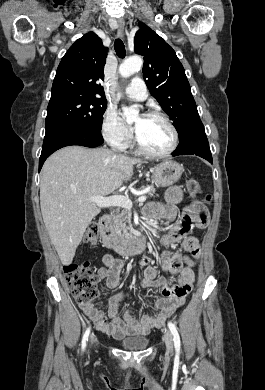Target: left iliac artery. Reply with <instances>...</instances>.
Returning <instances> with one entry per match:
<instances>
[{"label":"left iliac artery","instance_id":"1","mask_svg":"<svg viewBox=\"0 0 265 390\" xmlns=\"http://www.w3.org/2000/svg\"><path fill=\"white\" fill-rule=\"evenodd\" d=\"M168 327L173 335L175 350H176V353L178 354V353H180V345H181L178 331L176 329V326L172 322H168Z\"/></svg>","mask_w":265,"mask_h":390}]
</instances>
